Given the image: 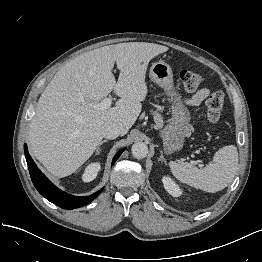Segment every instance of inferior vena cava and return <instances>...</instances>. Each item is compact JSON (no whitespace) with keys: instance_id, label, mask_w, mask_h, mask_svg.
Here are the masks:
<instances>
[{"instance_id":"1","label":"inferior vena cava","mask_w":262,"mask_h":262,"mask_svg":"<svg viewBox=\"0 0 262 262\" xmlns=\"http://www.w3.org/2000/svg\"><path fill=\"white\" fill-rule=\"evenodd\" d=\"M102 135L106 139H115L120 135V128L115 124H107L102 128Z\"/></svg>"}]
</instances>
